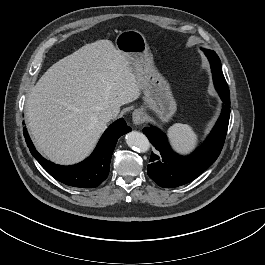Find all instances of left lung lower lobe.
I'll use <instances>...</instances> for the list:
<instances>
[{
  "mask_svg": "<svg viewBox=\"0 0 265 265\" xmlns=\"http://www.w3.org/2000/svg\"><path fill=\"white\" fill-rule=\"evenodd\" d=\"M212 74H216L214 63H211ZM216 88V87H215ZM224 102L222 113L205 143L193 154L181 157L169 147L166 136L156 127H146L143 132L156 148L151 154L148 165L149 177L163 188L184 185L197 178L218 158L226 138L230 117V94L218 90Z\"/></svg>",
  "mask_w": 265,
  "mask_h": 265,
  "instance_id": "1",
  "label": "left lung lower lobe"
}]
</instances>
